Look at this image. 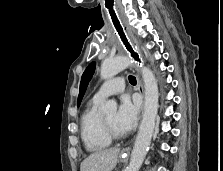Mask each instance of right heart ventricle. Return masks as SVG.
<instances>
[{"label":"right heart ventricle","mask_w":223,"mask_h":171,"mask_svg":"<svg viewBox=\"0 0 223 171\" xmlns=\"http://www.w3.org/2000/svg\"><path fill=\"white\" fill-rule=\"evenodd\" d=\"M101 100L92 98L80 118V136L88 152H99L108 148L111 140L105 135L102 127V116L99 112Z\"/></svg>","instance_id":"e07e8e85"}]
</instances>
